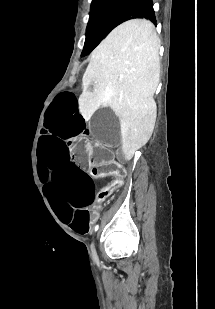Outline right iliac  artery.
Wrapping results in <instances>:
<instances>
[{
    "mask_svg": "<svg viewBox=\"0 0 215 309\" xmlns=\"http://www.w3.org/2000/svg\"><path fill=\"white\" fill-rule=\"evenodd\" d=\"M98 228H99V226H98V225H96V226L94 227V231H97V230H98Z\"/></svg>",
    "mask_w": 215,
    "mask_h": 309,
    "instance_id": "obj_1",
    "label": "right iliac artery"
}]
</instances>
